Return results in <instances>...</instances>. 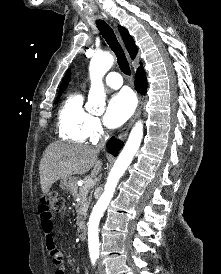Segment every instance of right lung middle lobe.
I'll use <instances>...</instances> for the list:
<instances>
[{
	"mask_svg": "<svg viewBox=\"0 0 221 274\" xmlns=\"http://www.w3.org/2000/svg\"><path fill=\"white\" fill-rule=\"evenodd\" d=\"M61 94H59L56 98V102H58L59 98H60Z\"/></svg>",
	"mask_w": 221,
	"mask_h": 274,
	"instance_id": "1",
	"label": "right lung middle lobe"
}]
</instances>
